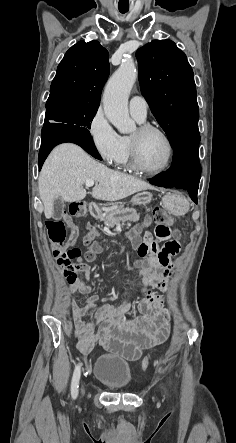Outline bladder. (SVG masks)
<instances>
[{
	"instance_id": "bladder-1",
	"label": "bladder",
	"mask_w": 236,
	"mask_h": 443,
	"mask_svg": "<svg viewBox=\"0 0 236 443\" xmlns=\"http://www.w3.org/2000/svg\"><path fill=\"white\" fill-rule=\"evenodd\" d=\"M94 374L98 381L112 390L125 388L131 379V371L127 362L120 357L111 355H101L97 359Z\"/></svg>"
}]
</instances>
